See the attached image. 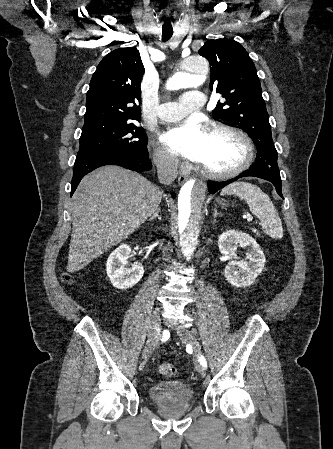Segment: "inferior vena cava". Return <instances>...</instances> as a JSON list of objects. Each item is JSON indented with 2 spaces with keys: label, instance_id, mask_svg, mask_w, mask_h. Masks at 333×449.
I'll return each instance as SVG.
<instances>
[{
  "label": "inferior vena cava",
  "instance_id": "602c4592",
  "mask_svg": "<svg viewBox=\"0 0 333 449\" xmlns=\"http://www.w3.org/2000/svg\"><path fill=\"white\" fill-rule=\"evenodd\" d=\"M160 183L170 185L178 174V160L168 154H161L155 159Z\"/></svg>",
  "mask_w": 333,
  "mask_h": 449
}]
</instances>
